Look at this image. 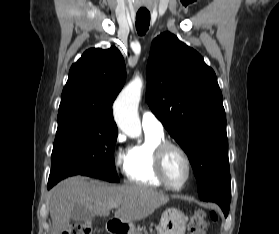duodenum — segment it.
Wrapping results in <instances>:
<instances>
[{"mask_svg":"<svg viewBox=\"0 0 279 234\" xmlns=\"http://www.w3.org/2000/svg\"><path fill=\"white\" fill-rule=\"evenodd\" d=\"M108 229L113 233V234H121L122 233V226L120 225L119 221L116 220H111L108 223Z\"/></svg>","mask_w":279,"mask_h":234,"instance_id":"410a0bca","label":"duodenum"}]
</instances>
